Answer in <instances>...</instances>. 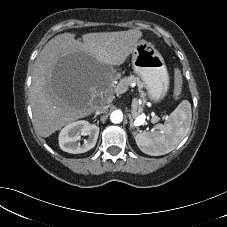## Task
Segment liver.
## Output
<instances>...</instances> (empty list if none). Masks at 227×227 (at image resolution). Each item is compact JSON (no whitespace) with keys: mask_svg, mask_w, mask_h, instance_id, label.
<instances>
[{"mask_svg":"<svg viewBox=\"0 0 227 227\" xmlns=\"http://www.w3.org/2000/svg\"><path fill=\"white\" fill-rule=\"evenodd\" d=\"M142 32L138 29L118 32L87 33L83 41L75 39L74 33H63L47 42L37 56L30 91L33 126L41 137H49L70 122L90 115L94 111L93 99L108 95L109 89L94 77L86 85L83 94L72 101L57 98L50 87L52 72L63 57L81 52L96 64L119 66L132 53Z\"/></svg>","mask_w":227,"mask_h":227,"instance_id":"liver-1","label":"liver"}]
</instances>
